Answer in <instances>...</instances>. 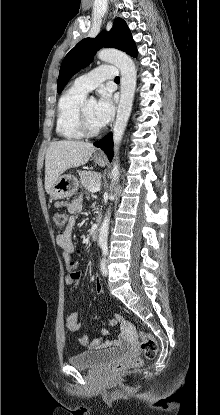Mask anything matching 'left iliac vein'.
Masks as SVG:
<instances>
[{
  "mask_svg": "<svg viewBox=\"0 0 220 415\" xmlns=\"http://www.w3.org/2000/svg\"><path fill=\"white\" fill-rule=\"evenodd\" d=\"M101 272L104 276L108 275L107 261L106 258H103L100 265Z\"/></svg>",
  "mask_w": 220,
  "mask_h": 415,
  "instance_id": "4c4485c4",
  "label": "left iliac vein"
}]
</instances>
